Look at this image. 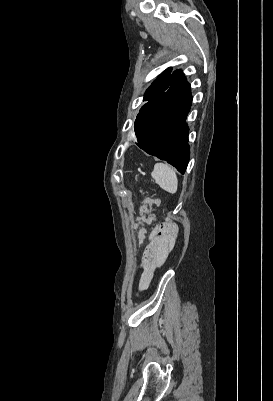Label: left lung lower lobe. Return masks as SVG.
<instances>
[{
	"label": "left lung lower lobe",
	"instance_id": "1",
	"mask_svg": "<svg viewBox=\"0 0 273 401\" xmlns=\"http://www.w3.org/2000/svg\"><path fill=\"white\" fill-rule=\"evenodd\" d=\"M192 101L190 85L180 70L173 72L169 88L148 101L135 120L136 144L148 154L184 174L189 161L186 117Z\"/></svg>",
	"mask_w": 273,
	"mask_h": 401
}]
</instances>
